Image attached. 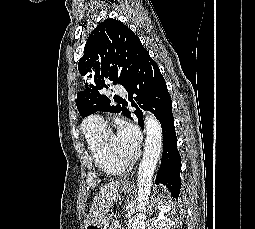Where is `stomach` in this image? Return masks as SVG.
Segmentation results:
<instances>
[{
    "label": "stomach",
    "instance_id": "1",
    "mask_svg": "<svg viewBox=\"0 0 255 229\" xmlns=\"http://www.w3.org/2000/svg\"><path fill=\"white\" fill-rule=\"evenodd\" d=\"M131 190L132 189L130 187H127V186L122 187V191L124 193H130ZM110 220L111 218L109 216H104L99 221L93 222L92 224H89L88 226H86L85 229H108Z\"/></svg>",
    "mask_w": 255,
    "mask_h": 229
}]
</instances>
